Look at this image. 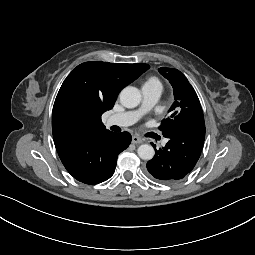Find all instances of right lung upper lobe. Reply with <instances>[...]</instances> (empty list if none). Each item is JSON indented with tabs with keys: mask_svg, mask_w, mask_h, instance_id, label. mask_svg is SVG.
Masks as SVG:
<instances>
[{
	"mask_svg": "<svg viewBox=\"0 0 255 255\" xmlns=\"http://www.w3.org/2000/svg\"><path fill=\"white\" fill-rule=\"evenodd\" d=\"M148 68L147 64L93 61L78 65L64 80L53 106L56 148L107 131L102 114L113 108L120 90Z\"/></svg>",
	"mask_w": 255,
	"mask_h": 255,
	"instance_id": "cb5924a9",
	"label": "right lung upper lobe"
}]
</instances>
